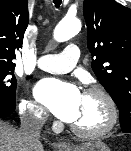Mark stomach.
I'll return each mask as SVG.
<instances>
[{
    "label": "stomach",
    "mask_w": 131,
    "mask_h": 151,
    "mask_svg": "<svg viewBox=\"0 0 131 151\" xmlns=\"http://www.w3.org/2000/svg\"><path fill=\"white\" fill-rule=\"evenodd\" d=\"M67 151H110V149L100 140H90L79 146L69 147Z\"/></svg>",
    "instance_id": "stomach-1"
}]
</instances>
